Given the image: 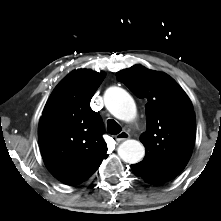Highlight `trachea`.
I'll list each match as a JSON object with an SVG mask.
<instances>
[{
  "mask_svg": "<svg viewBox=\"0 0 221 221\" xmlns=\"http://www.w3.org/2000/svg\"><path fill=\"white\" fill-rule=\"evenodd\" d=\"M107 129L108 133L111 135H116L122 130L121 126L113 119L107 121Z\"/></svg>",
  "mask_w": 221,
  "mask_h": 221,
  "instance_id": "obj_1",
  "label": "trachea"
}]
</instances>
